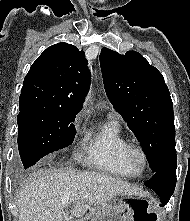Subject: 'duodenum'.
Here are the masks:
<instances>
[{"label": "duodenum", "mask_w": 190, "mask_h": 221, "mask_svg": "<svg viewBox=\"0 0 190 221\" xmlns=\"http://www.w3.org/2000/svg\"><path fill=\"white\" fill-rule=\"evenodd\" d=\"M78 221H90V218H89V217H85V218L80 219V220H78Z\"/></svg>", "instance_id": "1"}]
</instances>
